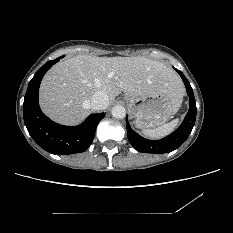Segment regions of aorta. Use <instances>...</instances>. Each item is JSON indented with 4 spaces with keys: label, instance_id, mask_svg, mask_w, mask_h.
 <instances>
[{
    "label": "aorta",
    "instance_id": "762f6f07",
    "mask_svg": "<svg viewBox=\"0 0 233 233\" xmlns=\"http://www.w3.org/2000/svg\"><path fill=\"white\" fill-rule=\"evenodd\" d=\"M111 114L114 118L122 119L126 116V110L123 106L117 105L112 108Z\"/></svg>",
    "mask_w": 233,
    "mask_h": 233
}]
</instances>
